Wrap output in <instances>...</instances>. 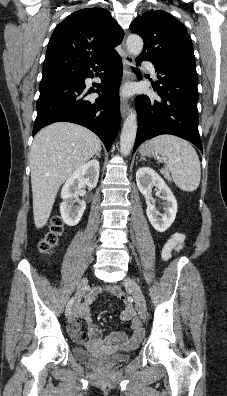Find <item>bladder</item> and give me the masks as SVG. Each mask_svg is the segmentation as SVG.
Returning <instances> with one entry per match:
<instances>
[{"instance_id": "obj_1", "label": "bladder", "mask_w": 227, "mask_h": 396, "mask_svg": "<svg viewBox=\"0 0 227 396\" xmlns=\"http://www.w3.org/2000/svg\"><path fill=\"white\" fill-rule=\"evenodd\" d=\"M73 354L78 361L95 368H111L128 358L125 353L98 354L81 347H75Z\"/></svg>"}]
</instances>
